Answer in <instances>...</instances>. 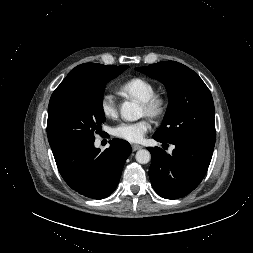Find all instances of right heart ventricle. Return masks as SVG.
Here are the masks:
<instances>
[{"mask_svg":"<svg viewBox=\"0 0 253 253\" xmlns=\"http://www.w3.org/2000/svg\"><path fill=\"white\" fill-rule=\"evenodd\" d=\"M124 96H130L143 102L155 93V86L142 77H134L125 81L119 88Z\"/></svg>","mask_w":253,"mask_h":253,"instance_id":"1","label":"right heart ventricle"}]
</instances>
